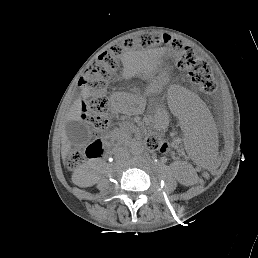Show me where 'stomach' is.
<instances>
[{
  "label": "stomach",
  "mask_w": 258,
  "mask_h": 258,
  "mask_svg": "<svg viewBox=\"0 0 258 258\" xmlns=\"http://www.w3.org/2000/svg\"><path fill=\"white\" fill-rule=\"evenodd\" d=\"M122 99L126 100V99H127V96H125V95H124V96H122Z\"/></svg>",
  "instance_id": "obj_1"
}]
</instances>
